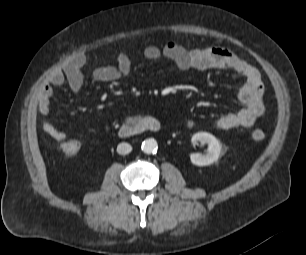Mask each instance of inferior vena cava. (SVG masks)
Instances as JSON below:
<instances>
[{
	"instance_id": "obj_1",
	"label": "inferior vena cava",
	"mask_w": 306,
	"mask_h": 255,
	"mask_svg": "<svg viewBox=\"0 0 306 255\" xmlns=\"http://www.w3.org/2000/svg\"><path fill=\"white\" fill-rule=\"evenodd\" d=\"M132 151V146L128 143H120L117 146V152L121 155H126Z\"/></svg>"
}]
</instances>
